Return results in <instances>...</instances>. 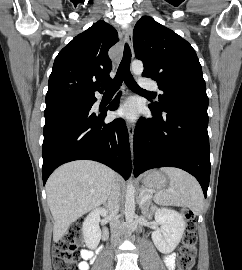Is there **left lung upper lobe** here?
<instances>
[{"mask_svg":"<svg viewBox=\"0 0 242 270\" xmlns=\"http://www.w3.org/2000/svg\"><path fill=\"white\" fill-rule=\"evenodd\" d=\"M133 45L136 58L144 63L142 76L156 80L164 92L151 105L157 112L184 105L208 107L202 67L186 40L144 16L135 25Z\"/></svg>","mask_w":242,"mask_h":270,"instance_id":"left-lung-upper-lobe-1","label":"left lung upper lobe"}]
</instances>
